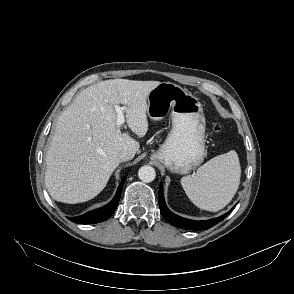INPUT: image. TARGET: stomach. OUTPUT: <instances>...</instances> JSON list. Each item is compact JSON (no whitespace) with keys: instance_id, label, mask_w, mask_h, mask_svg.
Wrapping results in <instances>:
<instances>
[{"instance_id":"obj_1","label":"stomach","mask_w":294,"mask_h":294,"mask_svg":"<svg viewBox=\"0 0 294 294\" xmlns=\"http://www.w3.org/2000/svg\"><path fill=\"white\" fill-rule=\"evenodd\" d=\"M147 114L152 120L163 119L170 111L172 129L151 158L168 170L186 174L205 157V117L198 99L171 82H162L147 97Z\"/></svg>"}]
</instances>
